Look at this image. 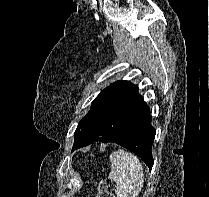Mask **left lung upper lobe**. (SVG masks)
Returning <instances> with one entry per match:
<instances>
[{"instance_id":"5c2ea615","label":"left lung upper lobe","mask_w":209,"mask_h":197,"mask_svg":"<svg viewBox=\"0 0 209 197\" xmlns=\"http://www.w3.org/2000/svg\"><path fill=\"white\" fill-rule=\"evenodd\" d=\"M129 81L120 80L102 90L92 102L90 111L81 119L74 133V144L82 137L100 114L117 98L133 87Z\"/></svg>"}]
</instances>
